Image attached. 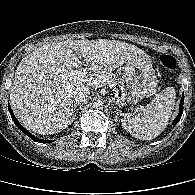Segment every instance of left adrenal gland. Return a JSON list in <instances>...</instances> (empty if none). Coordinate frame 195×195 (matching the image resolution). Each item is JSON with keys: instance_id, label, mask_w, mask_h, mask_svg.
<instances>
[{"instance_id": "a2214340", "label": "left adrenal gland", "mask_w": 195, "mask_h": 195, "mask_svg": "<svg viewBox=\"0 0 195 195\" xmlns=\"http://www.w3.org/2000/svg\"><path fill=\"white\" fill-rule=\"evenodd\" d=\"M118 111H119V110H118V108H117V107H115L114 113L116 114V115H115L116 120H117V115L119 114V112H118Z\"/></svg>"}]
</instances>
